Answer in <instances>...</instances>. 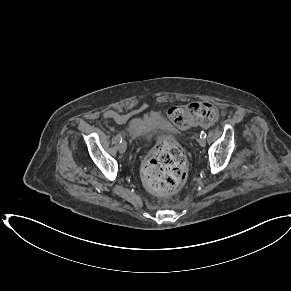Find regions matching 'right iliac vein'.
<instances>
[{"mask_svg": "<svg viewBox=\"0 0 291 291\" xmlns=\"http://www.w3.org/2000/svg\"><path fill=\"white\" fill-rule=\"evenodd\" d=\"M126 148H127V143L125 140H122L121 142H119L118 144V151L120 153H124L126 151Z\"/></svg>", "mask_w": 291, "mask_h": 291, "instance_id": "1", "label": "right iliac vein"}]
</instances>
